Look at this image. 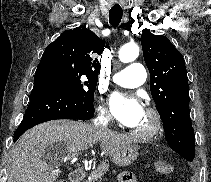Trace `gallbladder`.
I'll return each mask as SVG.
<instances>
[{"instance_id": "1", "label": "gallbladder", "mask_w": 211, "mask_h": 182, "mask_svg": "<svg viewBox=\"0 0 211 182\" xmlns=\"http://www.w3.org/2000/svg\"><path fill=\"white\" fill-rule=\"evenodd\" d=\"M62 146H63L62 144H54V145L49 146L46 149V151H45V153L43 155V158L47 159V160H52L53 156H54V153H55L57 148H59L58 149L59 151H61V150L63 151Z\"/></svg>"}]
</instances>
